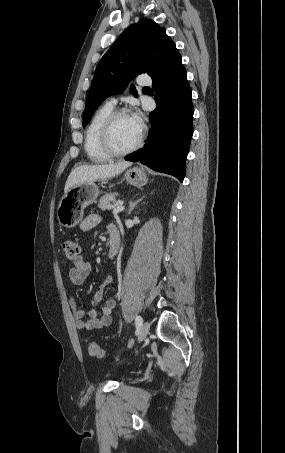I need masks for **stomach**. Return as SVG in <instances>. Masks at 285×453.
I'll list each match as a JSON object with an SVG mask.
<instances>
[{
	"label": "stomach",
	"instance_id": "1",
	"mask_svg": "<svg viewBox=\"0 0 285 453\" xmlns=\"http://www.w3.org/2000/svg\"><path fill=\"white\" fill-rule=\"evenodd\" d=\"M126 181L135 186H144L148 179L141 168L134 167L124 174ZM99 188L94 182L75 185L61 198L57 208V219L61 226L73 228L83 218L84 209L96 202Z\"/></svg>",
	"mask_w": 285,
	"mask_h": 453
}]
</instances>
